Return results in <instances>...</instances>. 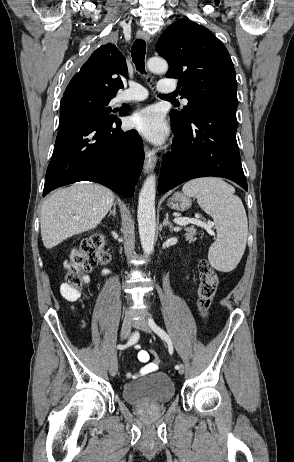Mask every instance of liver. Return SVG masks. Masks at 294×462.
Segmentation results:
<instances>
[{
  "label": "liver",
  "instance_id": "obj_1",
  "mask_svg": "<svg viewBox=\"0 0 294 462\" xmlns=\"http://www.w3.org/2000/svg\"><path fill=\"white\" fill-rule=\"evenodd\" d=\"M111 190L98 184L61 189L45 200L41 210L42 241L51 249L65 239L96 228L114 202Z\"/></svg>",
  "mask_w": 294,
  "mask_h": 462
}]
</instances>
